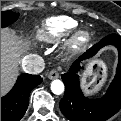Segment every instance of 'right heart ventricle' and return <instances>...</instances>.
<instances>
[{"instance_id": "1", "label": "right heart ventricle", "mask_w": 121, "mask_h": 121, "mask_svg": "<svg viewBox=\"0 0 121 121\" xmlns=\"http://www.w3.org/2000/svg\"><path fill=\"white\" fill-rule=\"evenodd\" d=\"M77 23L63 16L46 19L38 29V38L42 41L52 42L65 37L76 27Z\"/></svg>"}]
</instances>
